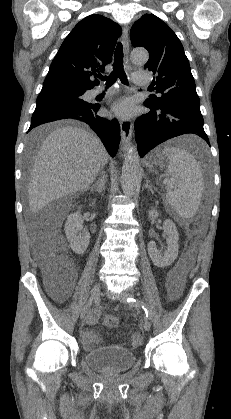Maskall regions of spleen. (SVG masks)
Returning a JSON list of instances; mask_svg holds the SVG:
<instances>
[{
    "label": "spleen",
    "mask_w": 231,
    "mask_h": 419,
    "mask_svg": "<svg viewBox=\"0 0 231 419\" xmlns=\"http://www.w3.org/2000/svg\"><path fill=\"white\" fill-rule=\"evenodd\" d=\"M168 157V182L166 200L181 218H192L200 204L203 193V174L194 156L179 147H166Z\"/></svg>",
    "instance_id": "3e777b00"
}]
</instances>
